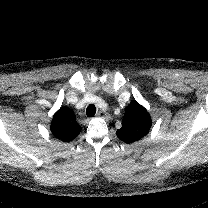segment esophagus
<instances>
[{
	"label": "esophagus",
	"mask_w": 208,
	"mask_h": 208,
	"mask_svg": "<svg viewBox=\"0 0 208 208\" xmlns=\"http://www.w3.org/2000/svg\"><path fill=\"white\" fill-rule=\"evenodd\" d=\"M97 117L108 119V118H110V115L108 112L102 110V111L98 112Z\"/></svg>",
	"instance_id": "34e87169"
}]
</instances>
